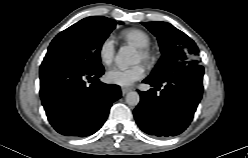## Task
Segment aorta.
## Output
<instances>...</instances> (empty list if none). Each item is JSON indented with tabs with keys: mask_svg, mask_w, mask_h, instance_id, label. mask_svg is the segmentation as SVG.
Here are the masks:
<instances>
[{
	"mask_svg": "<svg viewBox=\"0 0 248 158\" xmlns=\"http://www.w3.org/2000/svg\"><path fill=\"white\" fill-rule=\"evenodd\" d=\"M136 62V53L135 51L128 46L121 47L117 56L116 63L120 68H126L129 65H132ZM140 101V96L137 92H129L126 95V103L129 106H137Z\"/></svg>",
	"mask_w": 248,
	"mask_h": 158,
	"instance_id": "obj_1",
	"label": "aorta"
}]
</instances>
